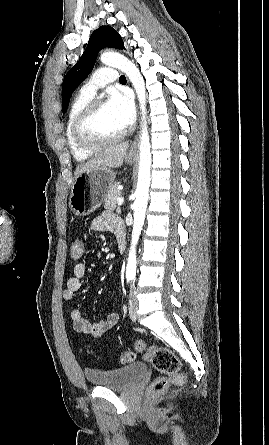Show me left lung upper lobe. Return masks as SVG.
Listing matches in <instances>:
<instances>
[{"instance_id":"obj_1","label":"left lung upper lobe","mask_w":269,"mask_h":445,"mask_svg":"<svg viewBox=\"0 0 269 445\" xmlns=\"http://www.w3.org/2000/svg\"><path fill=\"white\" fill-rule=\"evenodd\" d=\"M104 47L124 49L121 36L111 26H101L92 33L79 61L65 75L62 84L63 113L68 108L72 93L92 71L98 52Z\"/></svg>"}]
</instances>
